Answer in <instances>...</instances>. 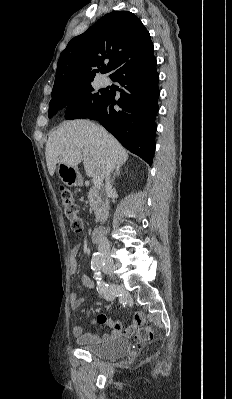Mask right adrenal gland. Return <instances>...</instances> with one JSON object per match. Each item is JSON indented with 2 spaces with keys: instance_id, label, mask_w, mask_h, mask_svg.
I'll list each match as a JSON object with an SVG mask.
<instances>
[{
  "instance_id": "right-adrenal-gland-1",
  "label": "right adrenal gland",
  "mask_w": 232,
  "mask_h": 399,
  "mask_svg": "<svg viewBox=\"0 0 232 399\" xmlns=\"http://www.w3.org/2000/svg\"><path fill=\"white\" fill-rule=\"evenodd\" d=\"M120 172H121V166H118V168H116V172L111 180V184L112 186H114V182L116 180V176H120Z\"/></svg>"
}]
</instances>
